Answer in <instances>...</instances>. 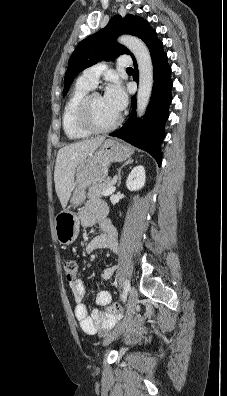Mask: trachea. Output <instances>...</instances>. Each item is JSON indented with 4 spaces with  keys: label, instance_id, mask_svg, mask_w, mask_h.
<instances>
[{
    "label": "trachea",
    "instance_id": "obj_1",
    "mask_svg": "<svg viewBox=\"0 0 227 396\" xmlns=\"http://www.w3.org/2000/svg\"><path fill=\"white\" fill-rule=\"evenodd\" d=\"M133 69L131 67L127 68V71H132Z\"/></svg>",
    "mask_w": 227,
    "mask_h": 396
}]
</instances>
